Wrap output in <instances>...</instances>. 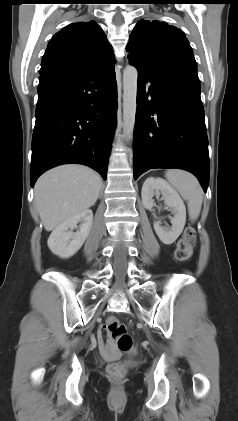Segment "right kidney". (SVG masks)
<instances>
[{
    "label": "right kidney",
    "instance_id": "1",
    "mask_svg": "<svg viewBox=\"0 0 238 421\" xmlns=\"http://www.w3.org/2000/svg\"><path fill=\"white\" fill-rule=\"evenodd\" d=\"M93 221V213L90 209L73 216L59 224L48 239V247L51 252L60 258H70L84 244L89 235ZM80 223L79 230L73 232Z\"/></svg>",
    "mask_w": 238,
    "mask_h": 421
}]
</instances>
